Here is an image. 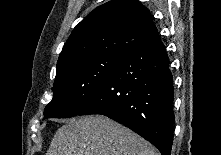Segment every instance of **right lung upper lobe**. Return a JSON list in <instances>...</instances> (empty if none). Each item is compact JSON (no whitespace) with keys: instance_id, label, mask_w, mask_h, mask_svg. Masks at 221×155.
<instances>
[{"instance_id":"1","label":"right lung upper lobe","mask_w":221,"mask_h":155,"mask_svg":"<svg viewBox=\"0 0 221 155\" xmlns=\"http://www.w3.org/2000/svg\"><path fill=\"white\" fill-rule=\"evenodd\" d=\"M158 34L149 10L135 0H112L85 17L73 30L57 62V71L69 63L103 53L126 54Z\"/></svg>"}]
</instances>
